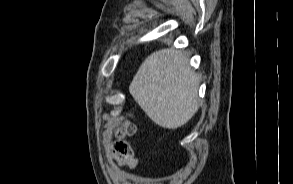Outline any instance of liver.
Wrapping results in <instances>:
<instances>
[{
	"mask_svg": "<svg viewBox=\"0 0 293 184\" xmlns=\"http://www.w3.org/2000/svg\"><path fill=\"white\" fill-rule=\"evenodd\" d=\"M199 80L185 52L162 49L139 67L129 91L157 125L177 129L198 111Z\"/></svg>",
	"mask_w": 293,
	"mask_h": 184,
	"instance_id": "obj_1",
	"label": "liver"
}]
</instances>
